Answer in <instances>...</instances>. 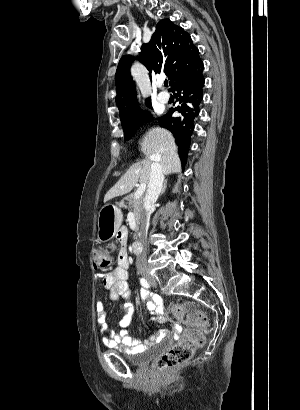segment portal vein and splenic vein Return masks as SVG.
<instances>
[{
	"label": "portal vein and splenic vein",
	"mask_w": 300,
	"mask_h": 410,
	"mask_svg": "<svg viewBox=\"0 0 300 410\" xmlns=\"http://www.w3.org/2000/svg\"><path fill=\"white\" fill-rule=\"evenodd\" d=\"M145 190H146V184H140V186L138 187V189L136 190V192L134 194V198L135 199L140 198L143 195V193L145 192Z\"/></svg>",
	"instance_id": "obj_1"
}]
</instances>
